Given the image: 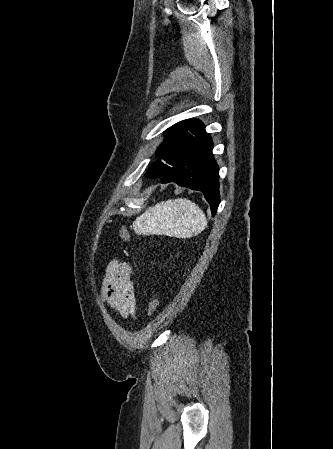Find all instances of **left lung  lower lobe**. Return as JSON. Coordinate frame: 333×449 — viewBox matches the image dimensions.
Segmentation results:
<instances>
[{
    "label": "left lung lower lobe",
    "mask_w": 333,
    "mask_h": 449,
    "mask_svg": "<svg viewBox=\"0 0 333 449\" xmlns=\"http://www.w3.org/2000/svg\"><path fill=\"white\" fill-rule=\"evenodd\" d=\"M212 148V140L203 126L186 160L164 175L161 182H175L180 186L201 191L209 202L214 216L220 203V195L219 168L214 160ZM153 166L154 164L147 171L146 176L152 172Z\"/></svg>",
    "instance_id": "1"
}]
</instances>
